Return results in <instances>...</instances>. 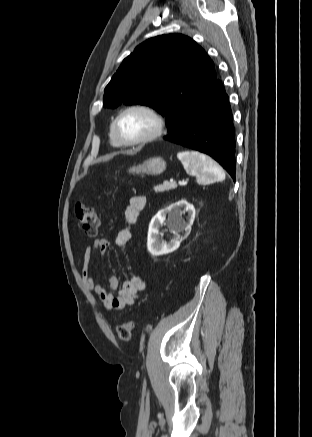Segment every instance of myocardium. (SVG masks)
<instances>
[{"instance_id":"myocardium-1","label":"myocardium","mask_w":312,"mask_h":437,"mask_svg":"<svg viewBox=\"0 0 312 437\" xmlns=\"http://www.w3.org/2000/svg\"><path fill=\"white\" fill-rule=\"evenodd\" d=\"M130 111H143L149 114L155 121V128L154 130L147 136L136 139V140H128L126 139L123 134L120 131V121L122 117L130 112ZM113 128L115 131L116 136L118 137L119 141L125 145V146H137V145H143L147 144L149 142H152L153 140L157 139L162 135L165 129V120L162 117V115L153 107L146 105V104H133L130 106L125 107L122 109L118 115L116 116L114 122H113Z\"/></svg>"}]
</instances>
